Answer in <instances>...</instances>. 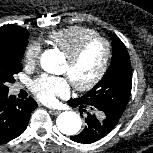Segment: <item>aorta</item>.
Segmentation results:
<instances>
[{"mask_svg":"<svg viewBox=\"0 0 153 153\" xmlns=\"http://www.w3.org/2000/svg\"><path fill=\"white\" fill-rule=\"evenodd\" d=\"M40 63L45 72L51 74H56L58 72L59 58L53 50L45 51L41 56ZM56 123L59 131L65 135L77 134L82 126L80 116L72 111L61 113Z\"/></svg>","mask_w":153,"mask_h":153,"instance_id":"762f6f07","label":"aorta"}]
</instances>
